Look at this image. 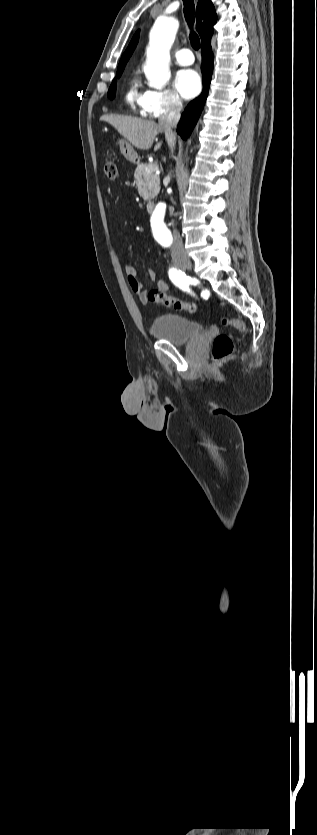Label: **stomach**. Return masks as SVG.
I'll list each match as a JSON object with an SVG mask.
<instances>
[{
	"mask_svg": "<svg viewBox=\"0 0 317 835\" xmlns=\"http://www.w3.org/2000/svg\"><path fill=\"white\" fill-rule=\"evenodd\" d=\"M119 145H120V151H121L122 155L126 158V160H128L132 163H136V161L140 159L137 152L134 150L133 146L131 145V143L122 139V140H119Z\"/></svg>",
	"mask_w": 317,
	"mask_h": 835,
	"instance_id": "1",
	"label": "stomach"
}]
</instances>
